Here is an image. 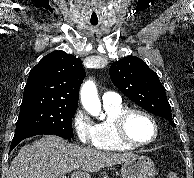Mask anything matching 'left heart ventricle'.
<instances>
[{
    "mask_svg": "<svg viewBox=\"0 0 194 178\" xmlns=\"http://www.w3.org/2000/svg\"><path fill=\"white\" fill-rule=\"evenodd\" d=\"M126 129L129 137L136 142H148L154 137L152 123L140 114L130 116L126 124Z\"/></svg>",
    "mask_w": 194,
    "mask_h": 178,
    "instance_id": "1",
    "label": "left heart ventricle"
}]
</instances>
